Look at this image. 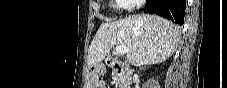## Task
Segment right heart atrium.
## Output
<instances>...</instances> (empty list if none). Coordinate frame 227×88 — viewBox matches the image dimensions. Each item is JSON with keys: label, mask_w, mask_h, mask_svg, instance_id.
I'll return each mask as SVG.
<instances>
[{"label": "right heart atrium", "mask_w": 227, "mask_h": 88, "mask_svg": "<svg viewBox=\"0 0 227 88\" xmlns=\"http://www.w3.org/2000/svg\"><path fill=\"white\" fill-rule=\"evenodd\" d=\"M124 9L127 11H135L140 9L144 4L145 0H119Z\"/></svg>", "instance_id": "1"}]
</instances>
